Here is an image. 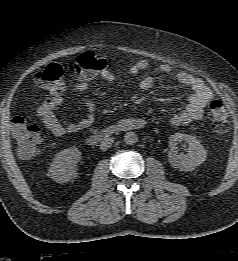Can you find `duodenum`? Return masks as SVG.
Instances as JSON below:
<instances>
[{"mask_svg":"<svg viewBox=\"0 0 238 261\" xmlns=\"http://www.w3.org/2000/svg\"><path fill=\"white\" fill-rule=\"evenodd\" d=\"M136 129V125L134 123H118L114 125H110L94 134H91L87 137L86 141L89 145H97L100 142H103L114 134L119 132H124L128 130Z\"/></svg>","mask_w":238,"mask_h":261,"instance_id":"duodenum-1","label":"duodenum"}]
</instances>
